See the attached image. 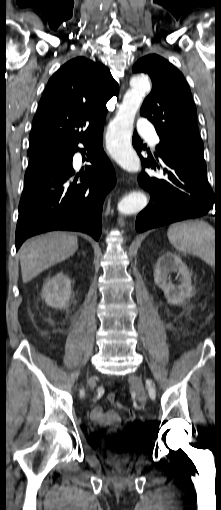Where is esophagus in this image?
<instances>
[{
	"mask_svg": "<svg viewBox=\"0 0 221 510\" xmlns=\"http://www.w3.org/2000/svg\"><path fill=\"white\" fill-rule=\"evenodd\" d=\"M124 89H125V86H124V85H122V90H124Z\"/></svg>",
	"mask_w": 221,
	"mask_h": 510,
	"instance_id": "1",
	"label": "esophagus"
}]
</instances>
